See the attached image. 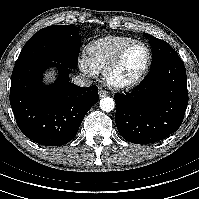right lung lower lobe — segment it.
<instances>
[{
	"label": "right lung lower lobe",
	"instance_id": "98d812e1",
	"mask_svg": "<svg viewBox=\"0 0 199 199\" xmlns=\"http://www.w3.org/2000/svg\"><path fill=\"white\" fill-rule=\"evenodd\" d=\"M56 66L57 81L42 84L45 69ZM70 68L58 62H38L12 72L10 104L22 133L45 146L71 141L88 110L99 100L95 85L82 88L68 78Z\"/></svg>",
	"mask_w": 199,
	"mask_h": 199
}]
</instances>
